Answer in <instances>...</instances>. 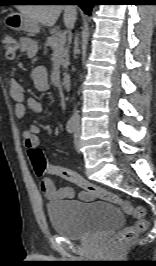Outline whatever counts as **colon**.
<instances>
[{
    "label": "colon",
    "instance_id": "colon-1",
    "mask_svg": "<svg viewBox=\"0 0 156 266\" xmlns=\"http://www.w3.org/2000/svg\"><path fill=\"white\" fill-rule=\"evenodd\" d=\"M2 46L6 57L8 59L14 58L18 49V44L12 34H5L3 36ZM28 154L34 171L38 176L52 175L60 177L79 186L83 191L92 195L94 198L119 206L124 213L136 219L134 224L124 228L118 235L109 241L108 248L110 250H114L119 245L134 240L139 234L147 229L148 222L145 218V209L142 206L134 205L121 198L119 195L87 181L75 171L61 166L48 164L43 152L39 148L29 150Z\"/></svg>",
    "mask_w": 156,
    "mask_h": 266
}]
</instances>
